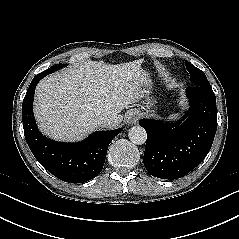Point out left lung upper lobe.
I'll use <instances>...</instances> for the list:
<instances>
[{"instance_id": "obj_1", "label": "left lung upper lobe", "mask_w": 239, "mask_h": 239, "mask_svg": "<svg viewBox=\"0 0 239 239\" xmlns=\"http://www.w3.org/2000/svg\"><path fill=\"white\" fill-rule=\"evenodd\" d=\"M186 69L190 73V80L193 82V86H208L209 84L206 75L203 71L192 65L191 63L185 61Z\"/></svg>"}]
</instances>
